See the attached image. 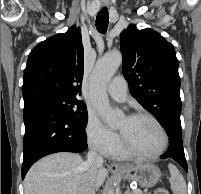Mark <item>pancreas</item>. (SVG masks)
I'll return each mask as SVG.
<instances>
[{
	"label": "pancreas",
	"mask_w": 201,
	"mask_h": 194,
	"mask_svg": "<svg viewBox=\"0 0 201 194\" xmlns=\"http://www.w3.org/2000/svg\"><path fill=\"white\" fill-rule=\"evenodd\" d=\"M132 194H135V193H132ZM141 194H148V193H147V192H144V193H143V192H141Z\"/></svg>",
	"instance_id": "cf45deb5"
}]
</instances>
